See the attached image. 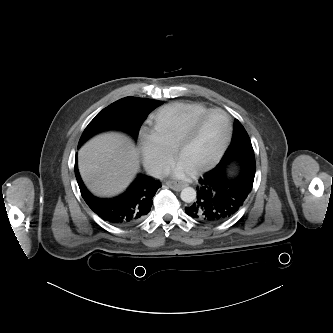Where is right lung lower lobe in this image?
Wrapping results in <instances>:
<instances>
[{
  "instance_id": "1",
  "label": "right lung lower lobe",
  "mask_w": 333,
  "mask_h": 333,
  "mask_svg": "<svg viewBox=\"0 0 333 333\" xmlns=\"http://www.w3.org/2000/svg\"><path fill=\"white\" fill-rule=\"evenodd\" d=\"M75 175L87 205L103 220L118 226L134 225L144 219L151 210L153 196L161 187L160 181L138 174L122 195L103 199L93 196L84 186L77 168V158Z\"/></svg>"
}]
</instances>
